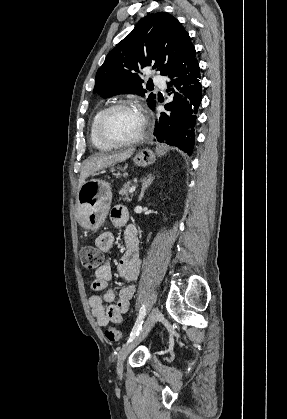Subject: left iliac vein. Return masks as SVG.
Masks as SVG:
<instances>
[{
    "mask_svg": "<svg viewBox=\"0 0 287 419\" xmlns=\"http://www.w3.org/2000/svg\"><path fill=\"white\" fill-rule=\"evenodd\" d=\"M160 316L158 308H153L138 335L122 347L117 359V372L119 375H122L123 363L128 354L148 335L154 324L160 319Z\"/></svg>",
    "mask_w": 287,
    "mask_h": 419,
    "instance_id": "obj_1",
    "label": "left iliac vein"
}]
</instances>
